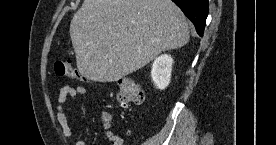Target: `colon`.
I'll use <instances>...</instances> for the list:
<instances>
[{
  "label": "colon",
  "mask_w": 276,
  "mask_h": 145,
  "mask_svg": "<svg viewBox=\"0 0 276 145\" xmlns=\"http://www.w3.org/2000/svg\"><path fill=\"white\" fill-rule=\"evenodd\" d=\"M54 69L58 76L84 80L79 71L67 59H58ZM116 95L122 104H141L144 100L143 90L129 77L120 78Z\"/></svg>",
  "instance_id": "obj_1"
}]
</instances>
